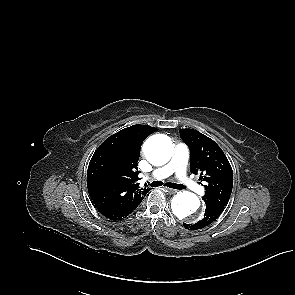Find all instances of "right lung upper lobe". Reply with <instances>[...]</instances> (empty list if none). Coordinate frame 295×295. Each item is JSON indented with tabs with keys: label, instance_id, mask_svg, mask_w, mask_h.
Wrapping results in <instances>:
<instances>
[{
	"label": "right lung upper lobe",
	"instance_id": "right-lung-upper-lobe-1",
	"mask_svg": "<svg viewBox=\"0 0 295 295\" xmlns=\"http://www.w3.org/2000/svg\"><path fill=\"white\" fill-rule=\"evenodd\" d=\"M155 127L133 125L107 138L88 166L87 187L96 207L120 209L141 201L150 188H141L137 170L141 144Z\"/></svg>",
	"mask_w": 295,
	"mask_h": 295
}]
</instances>
